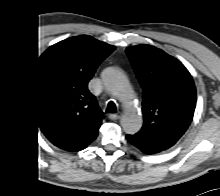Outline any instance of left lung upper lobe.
I'll return each instance as SVG.
<instances>
[{"label":"left lung upper lobe","instance_id":"obj_1","mask_svg":"<svg viewBox=\"0 0 220 196\" xmlns=\"http://www.w3.org/2000/svg\"><path fill=\"white\" fill-rule=\"evenodd\" d=\"M126 53L144 90V124L137 133L163 150L172 147L189 127L196 106L193 79L174 57L149 46Z\"/></svg>","mask_w":220,"mask_h":196}]
</instances>
